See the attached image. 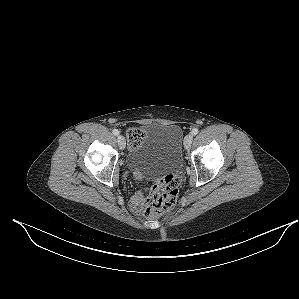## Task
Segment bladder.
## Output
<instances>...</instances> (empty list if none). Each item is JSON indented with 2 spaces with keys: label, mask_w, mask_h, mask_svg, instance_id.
Here are the masks:
<instances>
[{
  "label": "bladder",
  "mask_w": 299,
  "mask_h": 299,
  "mask_svg": "<svg viewBox=\"0 0 299 299\" xmlns=\"http://www.w3.org/2000/svg\"><path fill=\"white\" fill-rule=\"evenodd\" d=\"M141 143L130 151L128 165L145 177L157 178L182 165L183 133L176 124L149 123Z\"/></svg>",
  "instance_id": "obj_1"
}]
</instances>
